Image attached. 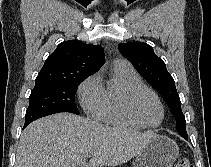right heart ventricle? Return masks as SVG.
<instances>
[{
    "mask_svg": "<svg viewBox=\"0 0 211 167\" xmlns=\"http://www.w3.org/2000/svg\"><path fill=\"white\" fill-rule=\"evenodd\" d=\"M113 76L117 82L115 88H103L102 100L97 112L93 115L96 119L112 126L126 129H140L124 112L122 107L123 93L134 86L143 85L139 75L133 69L114 67Z\"/></svg>",
    "mask_w": 211,
    "mask_h": 167,
    "instance_id": "obj_1",
    "label": "right heart ventricle"
}]
</instances>
